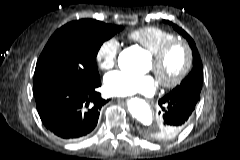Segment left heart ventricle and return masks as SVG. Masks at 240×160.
<instances>
[{
  "label": "left heart ventricle",
  "mask_w": 240,
  "mask_h": 160,
  "mask_svg": "<svg viewBox=\"0 0 240 160\" xmlns=\"http://www.w3.org/2000/svg\"><path fill=\"white\" fill-rule=\"evenodd\" d=\"M184 62V53L182 49L180 48H175L173 49L167 60L165 61L164 65L159 71V75L161 78L165 80H170L173 79L176 74L180 71L182 65ZM148 69L153 70V62L151 60Z\"/></svg>",
  "instance_id": "b2bd125f"
}]
</instances>
